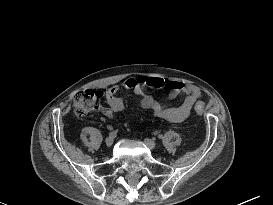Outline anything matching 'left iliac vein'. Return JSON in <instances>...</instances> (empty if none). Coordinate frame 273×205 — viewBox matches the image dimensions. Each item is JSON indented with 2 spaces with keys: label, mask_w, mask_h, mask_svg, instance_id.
Masks as SVG:
<instances>
[{
  "label": "left iliac vein",
  "mask_w": 273,
  "mask_h": 205,
  "mask_svg": "<svg viewBox=\"0 0 273 205\" xmlns=\"http://www.w3.org/2000/svg\"><path fill=\"white\" fill-rule=\"evenodd\" d=\"M144 143L150 149H155V147H156V143L152 139H150V138H145L144 139Z\"/></svg>",
  "instance_id": "obj_1"
}]
</instances>
